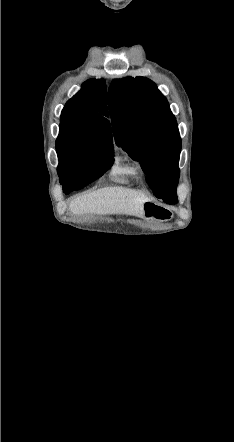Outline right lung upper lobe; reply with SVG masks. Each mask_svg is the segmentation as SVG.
<instances>
[{
    "mask_svg": "<svg viewBox=\"0 0 234 442\" xmlns=\"http://www.w3.org/2000/svg\"><path fill=\"white\" fill-rule=\"evenodd\" d=\"M106 108V84L103 79H91L65 105L60 125L91 143L112 144V132Z\"/></svg>",
    "mask_w": 234,
    "mask_h": 442,
    "instance_id": "1",
    "label": "right lung upper lobe"
}]
</instances>
